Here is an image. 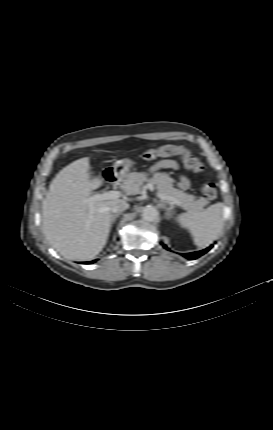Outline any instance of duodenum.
<instances>
[{
    "mask_svg": "<svg viewBox=\"0 0 273 430\" xmlns=\"http://www.w3.org/2000/svg\"><path fill=\"white\" fill-rule=\"evenodd\" d=\"M105 179H106V181H107L108 183H113V182H115V180H116V178L114 177V175H113V174H108V175L105 177Z\"/></svg>",
    "mask_w": 273,
    "mask_h": 430,
    "instance_id": "duodenum-1",
    "label": "duodenum"
}]
</instances>
